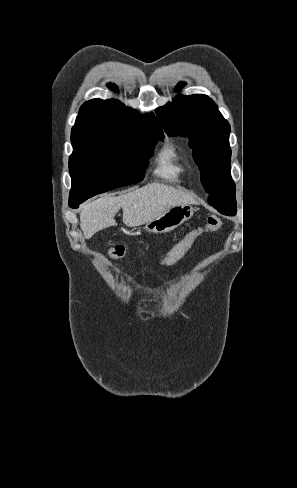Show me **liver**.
<instances>
[{
	"label": "liver",
	"mask_w": 297,
	"mask_h": 488,
	"mask_svg": "<svg viewBox=\"0 0 297 488\" xmlns=\"http://www.w3.org/2000/svg\"><path fill=\"white\" fill-rule=\"evenodd\" d=\"M194 202L188 193L151 183L124 195H109L84 204L80 212V227L85 238H91L96 232L117 225L114 217L120 208L124 224L134 227L148 223L174 205Z\"/></svg>",
	"instance_id": "liver-1"
}]
</instances>
